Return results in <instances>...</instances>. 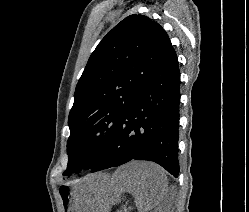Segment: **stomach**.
<instances>
[{"label":"stomach","instance_id":"0dacf381","mask_svg":"<svg viewBox=\"0 0 249 212\" xmlns=\"http://www.w3.org/2000/svg\"><path fill=\"white\" fill-rule=\"evenodd\" d=\"M117 179H110L109 175H101V170L91 178L65 184L60 190L62 206L65 212H107L115 210L113 198H118Z\"/></svg>","mask_w":249,"mask_h":212}]
</instances>
